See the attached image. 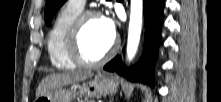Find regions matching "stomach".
Wrapping results in <instances>:
<instances>
[{
	"label": "stomach",
	"instance_id": "0dacf381",
	"mask_svg": "<svg viewBox=\"0 0 221 102\" xmlns=\"http://www.w3.org/2000/svg\"><path fill=\"white\" fill-rule=\"evenodd\" d=\"M118 82L112 76L100 75L71 89L58 88L48 94L38 96L35 102H73L76 97L95 98L113 94ZM80 102V101H79Z\"/></svg>",
	"mask_w": 221,
	"mask_h": 102
}]
</instances>
